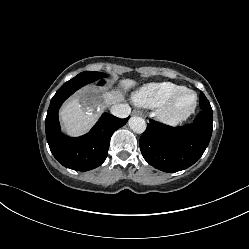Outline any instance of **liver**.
<instances>
[{
  "instance_id": "6515ba94",
  "label": "liver",
  "mask_w": 249,
  "mask_h": 249,
  "mask_svg": "<svg viewBox=\"0 0 249 249\" xmlns=\"http://www.w3.org/2000/svg\"><path fill=\"white\" fill-rule=\"evenodd\" d=\"M136 82L130 79L122 80L121 86L128 90ZM120 91H112L102 96L94 89H85L79 95L69 100L60 111V118L68 134L77 136L88 131L97 121L105 106L123 100Z\"/></svg>"
}]
</instances>
